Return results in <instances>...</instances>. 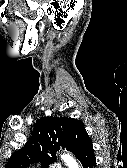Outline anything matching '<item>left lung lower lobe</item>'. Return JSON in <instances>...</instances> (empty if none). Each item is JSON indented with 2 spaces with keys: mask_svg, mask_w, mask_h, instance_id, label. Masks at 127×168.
<instances>
[{
  "mask_svg": "<svg viewBox=\"0 0 127 168\" xmlns=\"http://www.w3.org/2000/svg\"><path fill=\"white\" fill-rule=\"evenodd\" d=\"M76 158L82 163L83 168H95L96 160L92 141L89 137L81 144Z\"/></svg>",
  "mask_w": 127,
  "mask_h": 168,
  "instance_id": "0a47b994",
  "label": "left lung lower lobe"
}]
</instances>
